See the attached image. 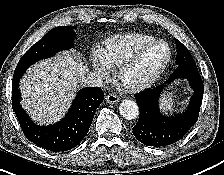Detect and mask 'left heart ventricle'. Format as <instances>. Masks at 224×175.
<instances>
[{"label": "left heart ventricle", "mask_w": 224, "mask_h": 175, "mask_svg": "<svg viewBox=\"0 0 224 175\" xmlns=\"http://www.w3.org/2000/svg\"><path fill=\"white\" fill-rule=\"evenodd\" d=\"M165 55L166 49L163 45H157L149 49L129 73V80H139L150 75L162 63Z\"/></svg>", "instance_id": "1"}]
</instances>
